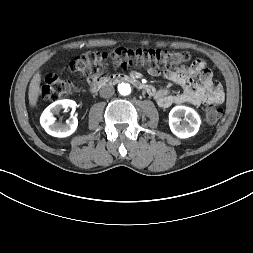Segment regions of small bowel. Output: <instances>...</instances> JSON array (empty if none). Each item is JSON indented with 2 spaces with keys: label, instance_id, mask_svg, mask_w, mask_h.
Wrapping results in <instances>:
<instances>
[{
  "label": "small bowel",
  "instance_id": "1",
  "mask_svg": "<svg viewBox=\"0 0 253 253\" xmlns=\"http://www.w3.org/2000/svg\"><path fill=\"white\" fill-rule=\"evenodd\" d=\"M147 73L151 77H165L182 88L180 92L171 93L166 88L152 87L153 93L149 95L162 108L184 103L192 105L219 104L224 100L221 86L213 79L212 73L202 60L193 61L188 68L183 63L178 66L168 65L162 68L151 66Z\"/></svg>",
  "mask_w": 253,
  "mask_h": 253
}]
</instances>
